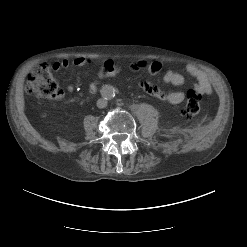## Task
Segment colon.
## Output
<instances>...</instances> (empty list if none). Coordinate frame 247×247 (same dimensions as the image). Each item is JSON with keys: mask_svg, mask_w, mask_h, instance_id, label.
Wrapping results in <instances>:
<instances>
[{"mask_svg": "<svg viewBox=\"0 0 247 247\" xmlns=\"http://www.w3.org/2000/svg\"><path fill=\"white\" fill-rule=\"evenodd\" d=\"M120 71L112 61H105L99 67L102 76L115 75ZM27 93L31 96L52 100L60 95V90L50 68L46 64L37 66L28 76ZM201 94L196 89H190L186 93V100L181 106L180 112L186 118L197 115L200 111Z\"/></svg>", "mask_w": 247, "mask_h": 247, "instance_id": "5ec220e1", "label": "colon"}]
</instances>
